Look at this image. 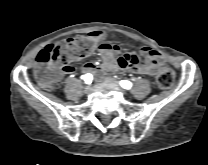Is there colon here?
Returning <instances> with one entry per match:
<instances>
[{"label":"colon","instance_id":"1","mask_svg":"<svg viewBox=\"0 0 208 165\" xmlns=\"http://www.w3.org/2000/svg\"><path fill=\"white\" fill-rule=\"evenodd\" d=\"M95 49L96 41L91 36L63 39L47 46L36 56V79L46 88L53 87L64 65L89 56ZM129 57L130 55L126 54L125 59L127 60ZM174 82L175 73L170 68H163L157 75V84L161 88H170Z\"/></svg>","mask_w":208,"mask_h":165}]
</instances>
